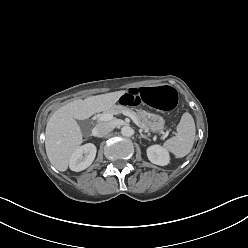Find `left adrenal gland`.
Returning a JSON list of instances; mask_svg holds the SVG:
<instances>
[{"mask_svg": "<svg viewBox=\"0 0 248 248\" xmlns=\"http://www.w3.org/2000/svg\"><path fill=\"white\" fill-rule=\"evenodd\" d=\"M139 132H140V138L150 140L146 135L142 134L141 130H139Z\"/></svg>", "mask_w": 248, "mask_h": 248, "instance_id": "a2214340", "label": "left adrenal gland"}]
</instances>
